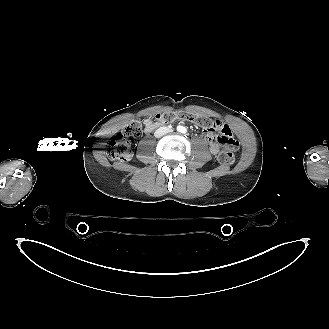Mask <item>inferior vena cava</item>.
<instances>
[{
	"instance_id": "1",
	"label": "inferior vena cava",
	"mask_w": 329,
	"mask_h": 329,
	"mask_svg": "<svg viewBox=\"0 0 329 329\" xmlns=\"http://www.w3.org/2000/svg\"><path fill=\"white\" fill-rule=\"evenodd\" d=\"M169 132V128L167 127H160L159 129H157L154 133V136L157 138L162 137L163 135H165L166 133Z\"/></svg>"
}]
</instances>
